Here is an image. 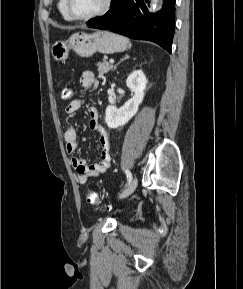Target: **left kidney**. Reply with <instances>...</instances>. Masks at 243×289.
<instances>
[{
    "label": "left kidney",
    "instance_id": "left-kidney-1",
    "mask_svg": "<svg viewBox=\"0 0 243 289\" xmlns=\"http://www.w3.org/2000/svg\"><path fill=\"white\" fill-rule=\"evenodd\" d=\"M146 84L147 79L142 70H136L128 76L126 85L134 95L120 108L114 105L106 108L105 122L109 128L115 129L125 125L137 113L144 99Z\"/></svg>",
    "mask_w": 243,
    "mask_h": 289
}]
</instances>
